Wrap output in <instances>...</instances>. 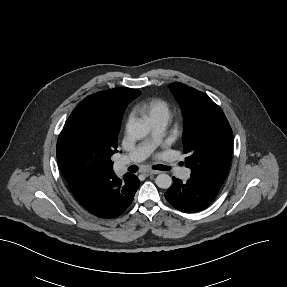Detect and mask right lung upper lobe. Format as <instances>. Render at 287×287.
I'll use <instances>...</instances> for the list:
<instances>
[{"label":"right lung upper lobe","instance_id":"cb5924a9","mask_svg":"<svg viewBox=\"0 0 287 287\" xmlns=\"http://www.w3.org/2000/svg\"><path fill=\"white\" fill-rule=\"evenodd\" d=\"M140 94L141 92L139 90L119 87L90 95L86 97L79 106L88 112L99 115L102 123L95 131L117 142L124 110L128 103ZM111 174H114L112 168L105 176ZM63 176L69 186L83 182L73 180L65 175Z\"/></svg>","mask_w":287,"mask_h":287}]
</instances>
